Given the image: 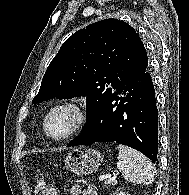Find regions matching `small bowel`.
Here are the masks:
<instances>
[{"label":"small bowel","instance_id":"obj_1","mask_svg":"<svg viewBox=\"0 0 189 195\" xmlns=\"http://www.w3.org/2000/svg\"><path fill=\"white\" fill-rule=\"evenodd\" d=\"M83 195H97V191L93 187H87Z\"/></svg>","mask_w":189,"mask_h":195}]
</instances>
